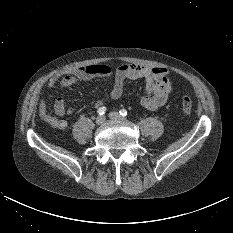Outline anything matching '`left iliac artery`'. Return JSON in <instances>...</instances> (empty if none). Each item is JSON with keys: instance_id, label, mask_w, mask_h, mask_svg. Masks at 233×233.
<instances>
[{"instance_id": "44dca946", "label": "left iliac artery", "mask_w": 233, "mask_h": 233, "mask_svg": "<svg viewBox=\"0 0 233 233\" xmlns=\"http://www.w3.org/2000/svg\"><path fill=\"white\" fill-rule=\"evenodd\" d=\"M119 113H120V115H122V116H126L127 115V111L125 110V109H121L120 111H119Z\"/></svg>"}]
</instances>
